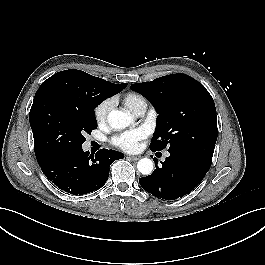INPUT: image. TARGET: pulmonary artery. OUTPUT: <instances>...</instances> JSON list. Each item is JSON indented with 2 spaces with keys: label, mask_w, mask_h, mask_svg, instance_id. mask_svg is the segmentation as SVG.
Listing matches in <instances>:
<instances>
[{
  "label": "pulmonary artery",
  "mask_w": 265,
  "mask_h": 265,
  "mask_svg": "<svg viewBox=\"0 0 265 265\" xmlns=\"http://www.w3.org/2000/svg\"><path fill=\"white\" fill-rule=\"evenodd\" d=\"M145 110H146V109H143V110L138 111V112L136 113V115H137V116H142V115L145 113ZM164 156H165V157H168V156H169V153L166 152Z\"/></svg>",
  "instance_id": "obj_1"
}]
</instances>
